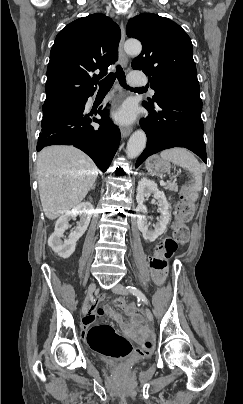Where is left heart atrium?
<instances>
[{
  "label": "left heart atrium",
  "instance_id": "1",
  "mask_svg": "<svg viewBox=\"0 0 243 404\" xmlns=\"http://www.w3.org/2000/svg\"><path fill=\"white\" fill-rule=\"evenodd\" d=\"M113 118L118 123H128L133 119V114L129 108L123 107L114 113Z\"/></svg>",
  "mask_w": 243,
  "mask_h": 404
}]
</instances>
